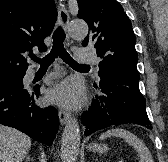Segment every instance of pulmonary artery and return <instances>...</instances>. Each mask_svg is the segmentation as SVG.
Wrapping results in <instances>:
<instances>
[{"label": "pulmonary artery", "instance_id": "e3ab8cb5", "mask_svg": "<svg viewBox=\"0 0 168 162\" xmlns=\"http://www.w3.org/2000/svg\"><path fill=\"white\" fill-rule=\"evenodd\" d=\"M76 56H77V60L80 62H87V63H93V64H98L97 59H95V57L89 53H87L85 50L83 49H78L76 51ZM35 71L31 70L28 73L29 77H32L34 75Z\"/></svg>", "mask_w": 168, "mask_h": 162}]
</instances>
